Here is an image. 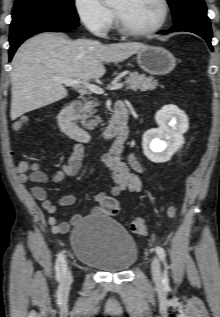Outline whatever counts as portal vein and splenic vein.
I'll return each mask as SVG.
<instances>
[{
	"mask_svg": "<svg viewBox=\"0 0 220 317\" xmlns=\"http://www.w3.org/2000/svg\"><path fill=\"white\" fill-rule=\"evenodd\" d=\"M52 78H53V80L58 81L67 87H76V86L84 85L87 89H89L93 93H96V94H103L104 93V90L101 87H99L95 84L85 83L79 79L61 78V77H57V76H53ZM122 87H123V84L118 83V84L111 86L109 89L110 90H118V89H121Z\"/></svg>",
	"mask_w": 220,
	"mask_h": 317,
	"instance_id": "portal-vein-and-splenic-vein-1",
	"label": "portal vein and splenic vein"
}]
</instances>
